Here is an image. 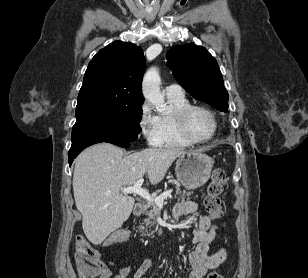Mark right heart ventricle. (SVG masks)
<instances>
[{"label": "right heart ventricle", "mask_w": 308, "mask_h": 278, "mask_svg": "<svg viewBox=\"0 0 308 278\" xmlns=\"http://www.w3.org/2000/svg\"><path fill=\"white\" fill-rule=\"evenodd\" d=\"M168 103L172 108L170 114H163L158 116L160 143L159 146L166 148H184L189 147L192 144L185 140L178 132L174 120L173 114L176 110L189 104L185 96L182 97H167Z\"/></svg>", "instance_id": "1"}]
</instances>
